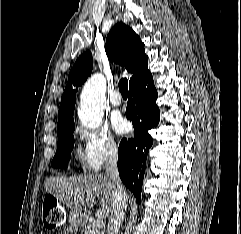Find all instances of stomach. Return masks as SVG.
Instances as JSON below:
<instances>
[{
    "label": "stomach",
    "instance_id": "1",
    "mask_svg": "<svg viewBox=\"0 0 241 234\" xmlns=\"http://www.w3.org/2000/svg\"><path fill=\"white\" fill-rule=\"evenodd\" d=\"M83 220V217L80 214H73L72 215V221L75 222H81Z\"/></svg>",
    "mask_w": 241,
    "mask_h": 234
}]
</instances>
